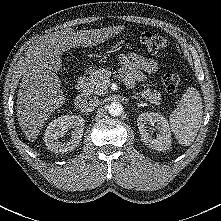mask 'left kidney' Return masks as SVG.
<instances>
[{"label":"left kidney","mask_w":221,"mask_h":221,"mask_svg":"<svg viewBox=\"0 0 221 221\" xmlns=\"http://www.w3.org/2000/svg\"><path fill=\"white\" fill-rule=\"evenodd\" d=\"M156 124V128L159 133L156 137H152L148 132L147 124ZM137 125L140 132V136L148 147L158 150L165 151L171 146V131L167 119L160 113L146 112L139 115L137 119Z\"/></svg>","instance_id":"5707ae66"}]
</instances>
